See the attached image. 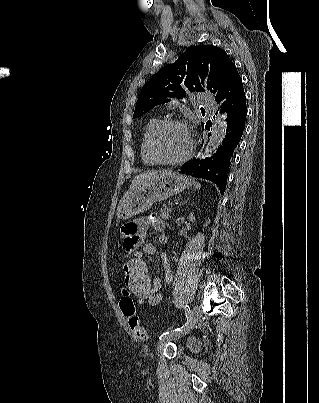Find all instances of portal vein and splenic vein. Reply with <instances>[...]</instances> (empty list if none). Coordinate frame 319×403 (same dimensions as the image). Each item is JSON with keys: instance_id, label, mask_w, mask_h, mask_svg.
Listing matches in <instances>:
<instances>
[{"instance_id": "obj_1", "label": "portal vein and splenic vein", "mask_w": 319, "mask_h": 403, "mask_svg": "<svg viewBox=\"0 0 319 403\" xmlns=\"http://www.w3.org/2000/svg\"><path fill=\"white\" fill-rule=\"evenodd\" d=\"M169 205H173V202H169Z\"/></svg>"}]
</instances>
